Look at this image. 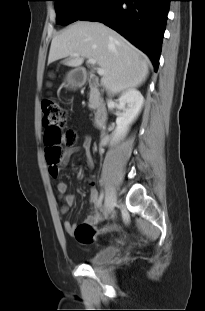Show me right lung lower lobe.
Masks as SVG:
<instances>
[{"label":"right lung lower lobe","mask_w":205,"mask_h":311,"mask_svg":"<svg viewBox=\"0 0 205 311\" xmlns=\"http://www.w3.org/2000/svg\"><path fill=\"white\" fill-rule=\"evenodd\" d=\"M171 0H101L79 20L104 23L145 52L157 71Z\"/></svg>","instance_id":"right-lung-lower-lobe-1"}]
</instances>
